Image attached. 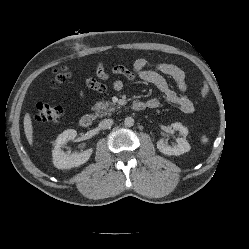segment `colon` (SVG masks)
Instances as JSON below:
<instances>
[{
  "instance_id": "colon-1",
  "label": "colon",
  "mask_w": 249,
  "mask_h": 249,
  "mask_svg": "<svg viewBox=\"0 0 249 249\" xmlns=\"http://www.w3.org/2000/svg\"><path fill=\"white\" fill-rule=\"evenodd\" d=\"M70 75L68 67H59L52 72V82L64 81ZM199 90L202 97H207L210 93L209 87L205 81L199 83ZM63 115L61 107L39 102L34 106V123L58 122Z\"/></svg>"
}]
</instances>
